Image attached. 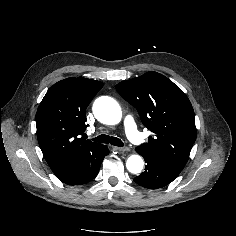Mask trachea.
Returning <instances> with one entry per match:
<instances>
[{
	"mask_svg": "<svg viewBox=\"0 0 236 236\" xmlns=\"http://www.w3.org/2000/svg\"><path fill=\"white\" fill-rule=\"evenodd\" d=\"M95 142L99 143H111L114 146L122 147L124 146L123 142L117 137H110L106 134H101L98 137L93 139Z\"/></svg>",
	"mask_w": 236,
	"mask_h": 236,
	"instance_id": "3493384b",
	"label": "trachea"
}]
</instances>
